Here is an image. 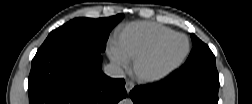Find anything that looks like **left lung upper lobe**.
Returning a JSON list of instances; mask_svg holds the SVG:
<instances>
[{
    "mask_svg": "<svg viewBox=\"0 0 252 104\" xmlns=\"http://www.w3.org/2000/svg\"><path fill=\"white\" fill-rule=\"evenodd\" d=\"M193 48L190 55L182 66L183 68H193L197 66H216L215 56L210 48L194 34L191 35Z\"/></svg>",
    "mask_w": 252,
    "mask_h": 104,
    "instance_id": "5c2ea615",
    "label": "left lung upper lobe"
}]
</instances>
